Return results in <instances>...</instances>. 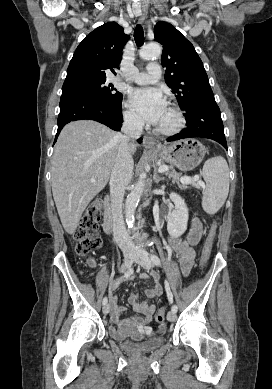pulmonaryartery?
Returning a JSON list of instances; mask_svg holds the SVG:
<instances>
[{
  "label": "pulmonary artery",
  "mask_w": 272,
  "mask_h": 389,
  "mask_svg": "<svg viewBox=\"0 0 272 389\" xmlns=\"http://www.w3.org/2000/svg\"><path fill=\"white\" fill-rule=\"evenodd\" d=\"M161 76V66L157 62L147 65L146 71L135 72L125 77V79L136 84H150L156 82Z\"/></svg>",
  "instance_id": "obj_1"
}]
</instances>
